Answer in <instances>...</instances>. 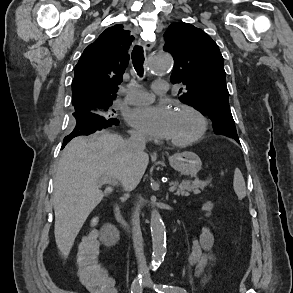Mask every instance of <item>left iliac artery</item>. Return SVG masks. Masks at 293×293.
Returning <instances> with one entry per match:
<instances>
[{"instance_id":"44dca946","label":"left iliac artery","mask_w":293,"mask_h":293,"mask_svg":"<svg viewBox=\"0 0 293 293\" xmlns=\"http://www.w3.org/2000/svg\"><path fill=\"white\" fill-rule=\"evenodd\" d=\"M154 289L157 293H187L183 288L164 284L154 285Z\"/></svg>"}]
</instances>
